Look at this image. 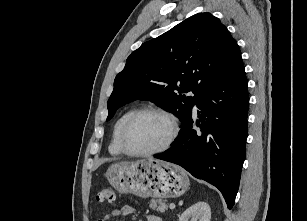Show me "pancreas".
<instances>
[{"instance_id":"1","label":"pancreas","mask_w":307,"mask_h":221,"mask_svg":"<svg viewBox=\"0 0 307 221\" xmlns=\"http://www.w3.org/2000/svg\"><path fill=\"white\" fill-rule=\"evenodd\" d=\"M150 207L153 209V210H156L158 212H165V210H167V204L165 201H162V200H153L150 204Z\"/></svg>"}]
</instances>
